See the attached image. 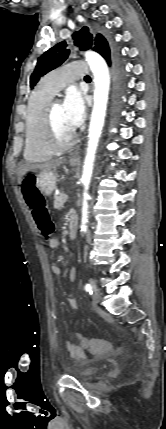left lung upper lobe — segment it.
Here are the masks:
<instances>
[{"mask_svg": "<svg viewBox=\"0 0 166 429\" xmlns=\"http://www.w3.org/2000/svg\"><path fill=\"white\" fill-rule=\"evenodd\" d=\"M73 38L75 40L74 44L78 46L80 50H87L93 47L92 49L98 52L97 49L108 46L106 39L101 34L93 36L89 32L88 27H83L78 32H75ZM66 47L67 44L65 41L60 42L38 58L35 70L30 76L31 88L37 84L42 76L60 66L68 58L70 50Z\"/></svg>", "mask_w": 166, "mask_h": 429, "instance_id": "5c2ea615", "label": "left lung upper lobe"}]
</instances>
